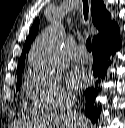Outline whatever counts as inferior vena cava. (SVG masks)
I'll return each instance as SVG.
<instances>
[{
  "mask_svg": "<svg viewBox=\"0 0 125 128\" xmlns=\"http://www.w3.org/2000/svg\"><path fill=\"white\" fill-rule=\"evenodd\" d=\"M67 117L70 120L68 128H80L81 127L80 117L74 110L72 111L71 108H69L67 111Z\"/></svg>",
  "mask_w": 125,
  "mask_h": 128,
  "instance_id": "inferior-vena-cava-1",
  "label": "inferior vena cava"
}]
</instances>
